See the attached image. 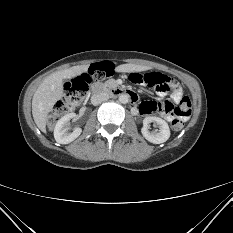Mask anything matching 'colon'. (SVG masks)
<instances>
[{
    "mask_svg": "<svg viewBox=\"0 0 233 233\" xmlns=\"http://www.w3.org/2000/svg\"><path fill=\"white\" fill-rule=\"evenodd\" d=\"M113 68L110 63H101L93 65L88 72L71 80L65 88L63 97L55 104L51 114L48 117V126L52 128L64 114L80 104L87 96L92 80H102L112 74ZM132 83L144 84L148 87L155 88L158 91H167L174 87L172 79L167 78L159 73H131L128 76ZM176 116L171 121L173 130L179 131L183 128L184 120L191 113V102L184 97L178 106L173 108ZM152 108H160V103L154 102Z\"/></svg>",
    "mask_w": 233,
    "mask_h": 233,
    "instance_id": "1",
    "label": "colon"
}]
</instances>
